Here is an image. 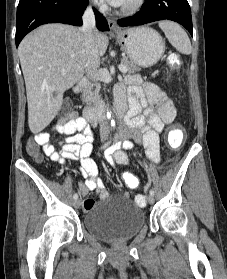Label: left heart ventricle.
I'll return each mask as SVG.
<instances>
[{"label": "left heart ventricle", "mask_w": 227, "mask_h": 279, "mask_svg": "<svg viewBox=\"0 0 227 279\" xmlns=\"http://www.w3.org/2000/svg\"><path fill=\"white\" fill-rule=\"evenodd\" d=\"M132 0H124V2L122 3V5H127L131 2Z\"/></svg>", "instance_id": "obj_1"}]
</instances>
